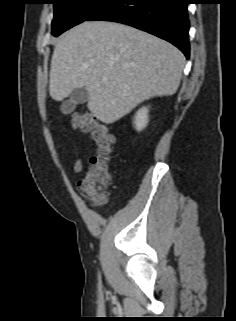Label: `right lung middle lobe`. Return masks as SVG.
Returning <instances> with one entry per match:
<instances>
[{
    "instance_id": "1",
    "label": "right lung middle lobe",
    "mask_w": 236,
    "mask_h": 321,
    "mask_svg": "<svg viewBox=\"0 0 236 321\" xmlns=\"http://www.w3.org/2000/svg\"><path fill=\"white\" fill-rule=\"evenodd\" d=\"M110 0H52L54 19L52 35L58 36L69 28L85 21Z\"/></svg>"
}]
</instances>
